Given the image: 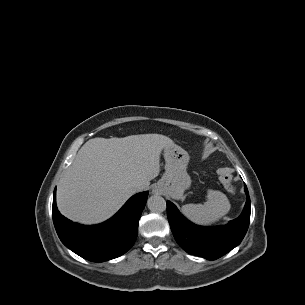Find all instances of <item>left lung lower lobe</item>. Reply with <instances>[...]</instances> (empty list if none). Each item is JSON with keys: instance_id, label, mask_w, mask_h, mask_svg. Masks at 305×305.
Wrapping results in <instances>:
<instances>
[{"instance_id": "0a47b994", "label": "left lung lower lobe", "mask_w": 305, "mask_h": 305, "mask_svg": "<svg viewBox=\"0 0 305 305\" xmlns=\"http://www.w3.org/2000/svg\"><path fill=\"white\" fill-rule=\"evenodd\" d=\"M247 201L242 214L225 226L202 227L188 221L167 201L168 221L177 243L189 254L215 260L240 244L250 221V198L245 186Z\"/></svg>"}]
</instances>
